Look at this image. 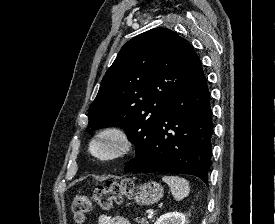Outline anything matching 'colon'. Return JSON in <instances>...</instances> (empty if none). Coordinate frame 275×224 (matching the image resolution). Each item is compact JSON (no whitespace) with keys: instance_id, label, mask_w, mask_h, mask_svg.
<instances>
[{"instance_id":"obj_1","label":"colon","mask_w":275,"mask_h":224,"mask_svg":"<svg viewBox=\"0 0 275 224\" xmlns=\"http://www.w3.org/2000/svg\"><path fill=\"white\" fill-rule=\"evenodd\" d=\"M133 183L130 180L108 182L105 186L95 189L92 196L78 194L72 202V212L78 222H84L94 206L110 209L114 204L122 203L133 193Z\"/></svg>"}]
</instances>
